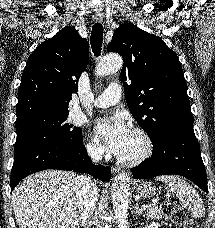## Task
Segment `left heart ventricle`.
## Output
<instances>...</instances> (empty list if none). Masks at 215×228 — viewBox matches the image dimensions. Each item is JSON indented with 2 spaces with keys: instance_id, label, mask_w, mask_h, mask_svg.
<instances>
[{
  "instance_id": "left-heart-ventricle-1",
  "label": "left heart ventricle",
  "mask_w": 215,
  "mask_h": 228,
  "mask_svg": "<svg viewBox=\"0 0 215 228\" xmlns=\"http://www.w3.org/2000/svg\"><path fill=\"white\" fill-rule=\"evenodd\" d=\"M141 147H142V142L140 137L132 132L130 145L126 150V152L121 157L133 156L140 151Z\"/></svg>"
}]
</instances>
